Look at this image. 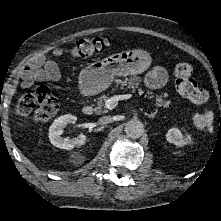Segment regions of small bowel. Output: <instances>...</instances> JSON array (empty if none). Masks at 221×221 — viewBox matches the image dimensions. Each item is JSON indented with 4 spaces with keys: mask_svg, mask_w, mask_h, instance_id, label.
<instances>
[{
    "mask_svg": "<svg viewBox=\"0 0 221 221\" xmlns=\"http://www.w3.org/2000/svg\"><path fill=\"white\" fill-rule=\"evenodd\" d=\"M56 53L60 54V51ZM60 79L61 73L58 66L46 55H39L33 58L26 67L23 75V86L29 87L34 82H58ZM166 81L167 73L163 67H155L146 77L147 85L153 88L163 86Z\"/></svg>",
    "mask_w": 221,
    "mask_h": 221,
    "instance_id": "c3829d8e",
    "label": "small bowel"
}]
</instances>
